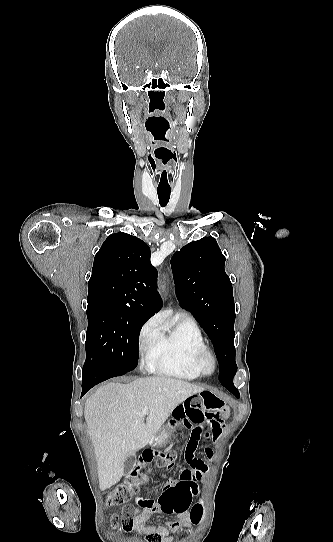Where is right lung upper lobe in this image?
<instances>
[{
  "instance_id": "right-lung-upper-lobe-1",
  "label": "right lung upper lobe",
  "mask_w": 333,
  "mask_h": 542,
  "mask_svg": "<svg viewBox=\"0 0 333 542\" xmlns=\"http://www.w3.org/2000/svg\"><path fill=\"white\" fill-rule=\"evenodd\" d=\"M150 248L141 239L115 233L96 253L89 280L88 306H111L153 316L162 307L157 270Z\"/></svg>"
}]
</instances>
